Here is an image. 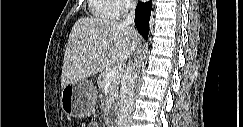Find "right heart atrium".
<instances>
[{
    "mask_svg": "<svg viewBox=\"0 0 243 127\" xmlns=\"http://www.w3.org/2000/svg\"><path fill=\"white\" fill-rule=\"evenodd\" d=\"M116 8H115V14L121 15L126 13L132 6V1L130 0H115Z\"/></svg>",
    "mask_w": 243,
    "mask_h": 127,
    "instance_id": "d8ad5b80",
    "label": "right heart atrium"
}]
</instances>
